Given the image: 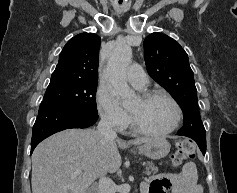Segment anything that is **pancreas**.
I'll return each mask as SVG.
<instances>
[{"label": "pancreas", "instance_id": "1", "mask_svg": "<svg viewBox=\"0 0 237 193\" xmlns=\"http://www.w3.org/2000/svg\"><path fill=\"white\" fill-rule=\"evenodd\" d=\"M145 168H146V175H151L152 173L154 174L158 172V168L152 162H146Z\"/></svg>", "mask_w": 237, "mask_h": 193}]
</instances>
